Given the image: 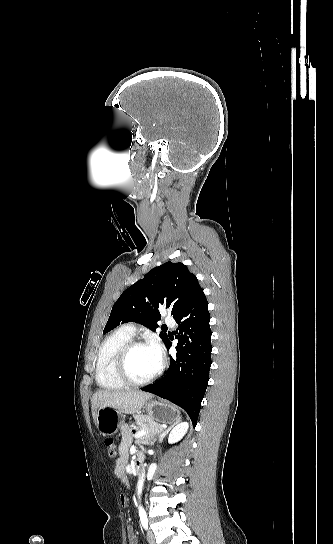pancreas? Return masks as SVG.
Returning <instances> with one entry per match:
<instances>
[{"mask_svg": "<svg viewBox=\"0 0 333 544\" xmlns=\"http://www.w3.org/2000/svg\"><path fill=\"white\" fill-rule=\"evenodd\" d=\"M137 430H146L147 433L143 436V439L149 437L151 434H155L164 431V428L157 422H155L148 415H139L135 418Z\"/></svg>", "mask_w": 333, "mask_h": 544, "instance_id": "1", "label": "pancreas"}]
</instances>
